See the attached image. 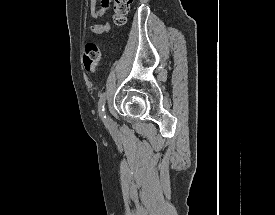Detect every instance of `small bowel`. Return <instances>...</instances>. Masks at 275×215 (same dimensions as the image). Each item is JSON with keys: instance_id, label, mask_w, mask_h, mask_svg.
<instances>
[{"instance_id": "small-bowel-1", "label": "small bowel", "mask_w": 275, "mask_h": 215, "mask_svg": "<svg viewBox=\"0 0 275 215\" xmlns=\"http://www.w3.org/2000/svg\"><path fill=\"white\" fill-rule=\"evenodd\" d=\"M97 0H91V15L94 19L98 20L101 18L109 7L110 0H99V5L96 6ZM111 29L110 23H99L94 22L90 26V31L95 35H104Z\"/></svg>"}]
</instances>
